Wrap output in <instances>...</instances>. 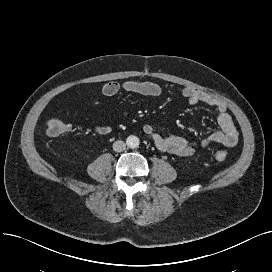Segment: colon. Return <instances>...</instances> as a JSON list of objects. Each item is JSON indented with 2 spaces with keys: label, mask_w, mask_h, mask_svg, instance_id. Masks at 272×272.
I'll return each mask as SVG.
<instances>
[{
  "label": "colon",
  "mask_w": 272,
  "mask_h": 272,
  "mask_svg": "<svg viewBox=\"0 0 272 272\" xmlns=\"http://www.w3.org/2000/svg\"><path fill=\"white\" fill-rule=\"evenodd\" d=\"M69 126L57 117H50L46 121V132L50 137H58L68 131ZM217 161L223 162L227 159L228 155L225 151L218 150L214 153Z\"/></svg>",
  "instance_id": "1"
}]
</instances>
